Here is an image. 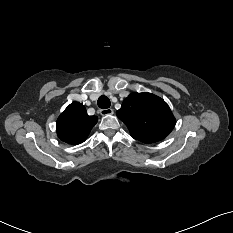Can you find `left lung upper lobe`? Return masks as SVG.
<instances>
[{"instance_id":"5c2ea615","label":"left lung upper lobe","mask_w":233,"mask_h":233,"mask_svg":"<svg viewBox=\"0 0 233 233\" xmlns=\"http://www.w3.org/2000/svg\"><path fill=\"white\" fill-rule=\"evenodd\" d=\"M116 114L126 124L131 136L144 143L164 139L175 126V118L167 103L147 92L131 93Z\"/></svg>"}]
</instances>
